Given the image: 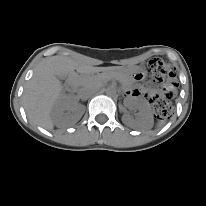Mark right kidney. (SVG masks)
I'll use <instances>...</instances> for the list:
<instances>
[{
    "label": "right kidney",
    "mask_w": 206,
    "mask_h": 206,
    "mask_svg": "<svg viewBox=\"0 0 206 206\" xmlns=\"http://www.w3.org/2000/svg\"><path fill=\"white\" fill-rule=\"evenodd\" d=\"M51 117L55 123L80 119L79 106L72 97H64L58 100L53 107Z\"/></svg>",
    "instance_id": "obj_1"
}]
</instances>
